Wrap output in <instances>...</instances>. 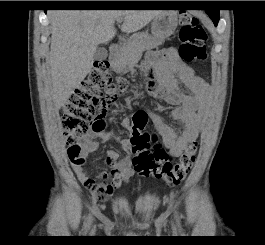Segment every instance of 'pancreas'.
<instances>
[{"instance_id":"cf45deb5","label":"pancreas","mask_w":265,"mask_h":245,"mask_svg":"<svg viewBox=\"0 0 265 245\" xmlns=\"http://www.w3.org/2000/svg\"><path fill=\"white\" fill-rule=\"evenodd\" d=\"M162 44V39H157L147 32L134 34L121 47L112 62L113 69L118 73H126L140 60L142 52L147 48H155Z\"/></svg>"}]
</instances>
